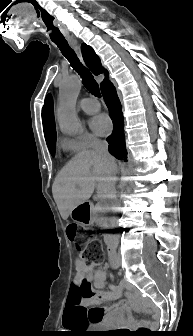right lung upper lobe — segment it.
<instances>
[{"mask_svg":"<svg viewBox=\"0 0 193 336\" xmlns=\"http://www.w3.org/2000/svg\"><path fill=\"white\" fill-rule=\"evenodd\" d=\"M81 49L84 60L89 68L92 70V72L96 75L102 73L101 61L99 57L95 54L94 50L86 44H82ZM105 75H108V72L106 70ZM106 81L107 80L105 79L101 83V87ZM42 122L46 142L52 140L53 138H56V129L53 117V102L50 95L46 97L44 106L42 108Z\"/></svg>","mask_w":193,"mask_h":336,"instance_id":"right-lung-upper-lobe-1","label":"right lung upper lobe"}]
</instances>
